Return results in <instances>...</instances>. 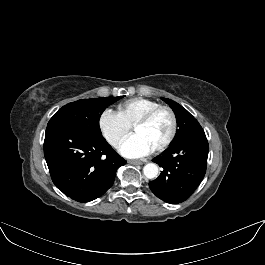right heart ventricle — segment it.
<instances>
[{"label": "right heart ventricle", "instance_id": "1", "mask_svg": "<svg viewBox=\"0 0 265 265\" xmlns=\"http://www.w3.org/2000/svg\"><path fill=\"white\" fill-rule=\"evenodd\" d=\"M160 106L154 100L146 98H133L122 102L117 107V113L129 126H133L135 121L149 110Z\"/></svg>", "mask_w": 265, "mask_h": 265}]
</instances>
